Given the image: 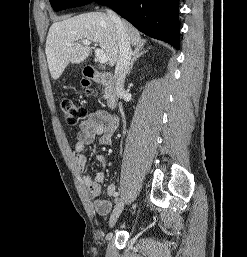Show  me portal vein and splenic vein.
<instances>
[{
    "label": "portal vein and splenic vein",
    "instance_id": "18ae733b",
    "mask_svg": "<svg viewBox=\"0 0 247 257\" xmlns=\"http://www.w3.org/2000/svg\"><path fill=\"white\" fill-rule=\"evenodd\" d=\"M82 44H83V45H90V44H91V41H89V40H83V41H82ZM66 45H67V46H72L73 44L67 43ZM95 55H96L97 60H98L101 64L107 63L108 60H109V57H108V56L104 53V51L101 50V49H95Z\"/></svg>",
    "mask_w": 247,
    "mask_h": 257
}]
</instances>
